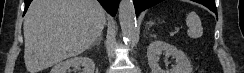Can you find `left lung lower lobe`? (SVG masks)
I'll use <instances>...</instances> for the list:
<instances>
[{"mask_svg": "<svg viewBox=\"0 0 244 73\" xmlns=\"http://www.w3.org/2000/svg\"><path fill=\"white\" fill-rule=\"evenodd\" d=\"M162 1L163 0H134L136 16H138L141 11H144L145 9L150 8ZM195 2L203 4L215 13L217 12L215 0H195Z\"/></svg>", "mask_w": 244, "mask_h": 73, "instance_id": "0a47b994", "label": "left lung lower lobe"}]
</instances>
